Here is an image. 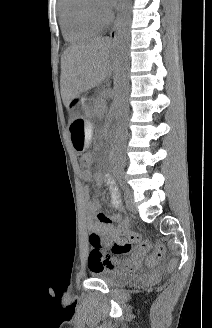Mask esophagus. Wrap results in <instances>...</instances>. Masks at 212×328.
<instances>
[{"label": "esophagus", "mask_w": 212, "mask_h": 328, "mask_svg": "<svg viewBox=\"0 0 212 328\" xmlns=\"http://www.w3.org/2000/svg\"><path fill=\"white\" fill-rule=\"evenodd\" d=\"M121 7H122V0L119 1V4H118V14H117L116 20L114 22L113 28H112V30L110 32V40L112 42H115L116 41L117 35H118V31H119V28H120V22H121L120 12H121Z\"/></svg>", "instance_id": "34e87169"}]
</instances>
